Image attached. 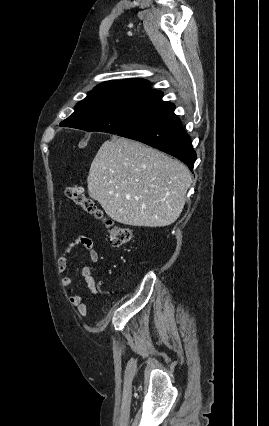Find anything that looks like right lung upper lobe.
I'll use <instances>...</instances> for the list:
<instances>
[{"label": "right lung upper lobe", "instance_id": "right-lung-upper-lobe-1", "mask_svg": "<svg viewBox=\"0 0 269 426\" xmlns=\"http://www.w3.org/2000/svg\"><path fill=\"white\" fill-rule=\"evenodd\" d=\"M113 92H160L150 89V82L144 79L107 81L97 85L89 94Z\"/></svg>", "mask_w": 269, "mask_h": 426}]
</instances>
